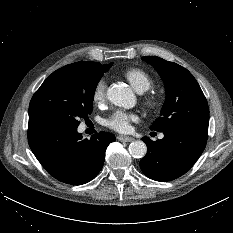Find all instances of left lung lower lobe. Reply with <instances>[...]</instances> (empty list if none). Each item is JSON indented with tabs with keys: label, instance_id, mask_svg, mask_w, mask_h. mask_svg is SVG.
I'll return each mask as SVG.
<instances>
[{
	"label": "left lung lower lobe",
	"instance_id": "obj_1",
	"mask_svg": "<svg viewBox=\"0 0 233 233\" xmlns=\"http://www.w3.org/2000/svg\"><path fill=\"white\" fill-rule=\"evenodd\" d=\"M208 126L189 124L164 131V138L142 140L148 151L140 161L142 172L155 181H171L185 174L200 157L207 142Z\"/></svg>",
	"mask_w": 233,
	"mask_h": 233
}]
</instances>
